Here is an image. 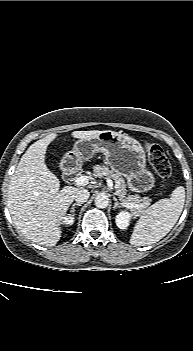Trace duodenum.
<instances>
[{"instance_id": "410a0bca", "label": "duodenum", "mask_w": 193, "mask_h": 351, "mask_svg": "<svg viewBox=\"0 0 193 351\" xmlns=\"http://www.w3.org/2000/svg\"><path fill=\"white\" fill-rule=\"evenodd\" d=\"M80 174V165L74 157H66L63 161V177L72 182Z\"/></svg>"}]
</instances>
